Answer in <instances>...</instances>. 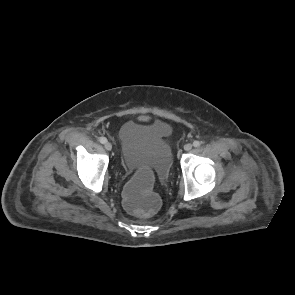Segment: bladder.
Listing matches in <instances>:
<instances>
[{"mask_svg":"<svg viewBox=\"0 0 295 295\" xmlns=\"http://www.w3.org/2000/svg\"><path fill=\"white\" fill-rule=\"evenodd\" d=\"M171 133L170 125L162 119L125 122L118 132L125 167L149 166L160 176H168L167 166L171 161L168 138Z\"/></svg>","mask_w":295,"mask_h":295,"instance_id":"bladder-1","label":"bladder"}]
</instances>
